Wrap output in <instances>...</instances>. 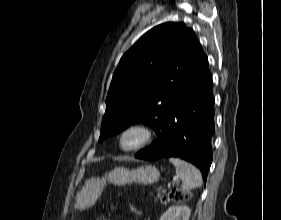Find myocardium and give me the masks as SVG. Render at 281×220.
Segmentation results:
<instances>
[{"instance_id":"1","label":"myocardium","mask_w":281,"mask_h":220,"mask_svg":"<svg viewBox=\"0 0 281 220\" xmlns=\"http://www.w3.org/2000/svg\"><path fill=\"white\" fill-rule=\"evenodd\" d=\"M132 133L138 134V141L130 146L124 145V139ZM153 138L154 131L152 127L143 122H132L120 130L116 138V145L118 150L123 153H133L151 144Z\"/></svg>"}]
</instances>
